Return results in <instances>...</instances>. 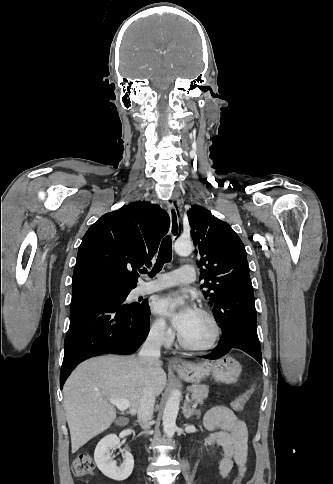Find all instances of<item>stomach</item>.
<instances>
[{
	"instance_id": "stomach-1",
	"label": "stomach",
	"mask_w": 333,
	"mask_h": 484,
	"mask_svg": "<svg viewBox=\"0 0 333 484\" xmlns=\"http://www.w3.org/2000/svg\"><path fill=\"white\" fill-rule=\"evenodd\" d=\"M178 375L186 382L199 384L212 377L225 384L235 383L241 374L242 366L229 355L215 360L202 362H185L180 367H174Z\"/></svg>"
}]
</instances>
